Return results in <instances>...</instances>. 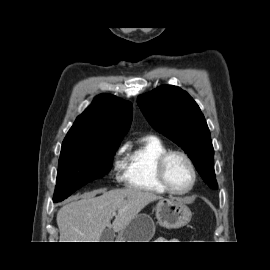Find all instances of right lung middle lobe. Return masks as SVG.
Listing matches in <instances>:
<instances>
[{"label":"right lung middle lobe","instance_id":"1","mask_svg":"<svg viewBox=\"0 0 270 270\" xmlns=\"http://www.w3.org/2000/svg\"><path fill=\"white\" fill-rule=\"evenodd\" d=\"M119 144L63 141L53 201L64 200L83 185L110 171Z\"/></svg>","mask_w":270,"mask_h":270}]
</instances>
